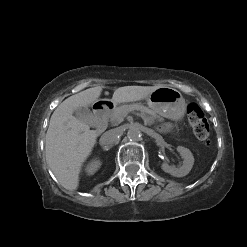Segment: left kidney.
<instances>
[{
  "mask_svg": "<svg viewBox=\"0 0 247 247\" xmlns=\"http://www.w3.org/2000/svg\"><path fill=\"white\" fill-rule=\"evenodd\" d=\"M177 151L180 153L183 160V165L180 168L170 166L167 163H163L161 168L164 172L169 173L174 177H183L186 176L192 169L194 165V157L191 151L185 147L178 146Z\"/></svg>",
  "mask_w": 247,
  "mask_h": 247,
  "instance_id": "5707ae66",
  "label": "left kidney"
}]
</instances>
